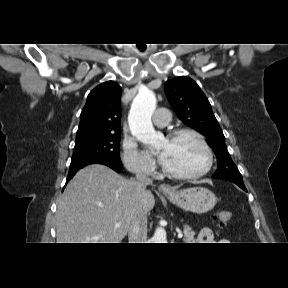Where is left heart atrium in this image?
Segmentation results:
<instances>
[{"label":"left heart atrium","mask_w":288,"mask_h":288,"mask_svg":"<svg viewBox=\"0 0 288 288\" xmlns=\"http://www.w3.org/2000/svg\"><path fill=\"white\" fill-rule=\"evenodd\" d=\"M159 157H160V160L163 162V158H164V157H163V155H162V154H160V156H159Z\"/></svg>","instance_id":"1"}]
</instances>
